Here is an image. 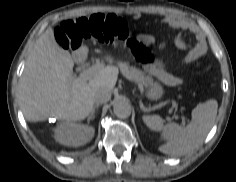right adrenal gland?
<instances>
[{"instance_id":"1","label":"right adrenal gland","mask_w":236,"mask_h":182,"mask_svg":"<svg viewBox=\"0 0 236 182\" xmlns=\"http://www.w3.org/2000/svg\"><path fill=\"white\" fill-rule=\"evenodd\" d=\"M99 108V104H96L95 106H94V108H93V111L91 112V114L89 115V117H88V122L91 120V119H93L94 117H95V111H96V109H98Z\"/></svg>"}]
</instances>
